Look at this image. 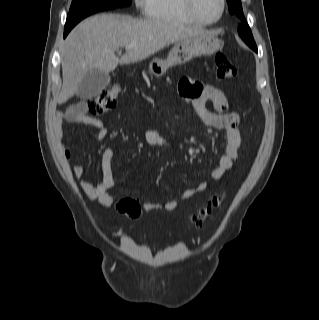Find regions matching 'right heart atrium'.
<instances>
[{
    "mask_svg": "<svg viewBox=\"0 0 319 320\" xmlns=\"http://www.w3.org/2000/svg\"><path fill=\"white\" fill-rule=\"evenodd\" d=\"M137 9H144L148 4V0H134Z\"/></svg>",
    "mask_w": 319,
    "mask_h": 320,
    "instance_id": "1",
    "label": "right heart atrium"
}]
</instances>
